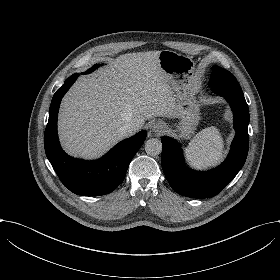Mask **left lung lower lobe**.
Masks as SVG:
<instances>
[{"instance_id":"0a47b994","label":"left lung lower lobe","mask_w":280,"mask_h":280,"mask_svg":"<svg viewBox=\"0 0 280 280\" xmlns=\"http://www.w3.org/2000/svg\"><path fill=\"white\" fill-rule=\"evenodd\" d=\"M212 90L229 102L236 131L230 153L220 166L207 172L184 168V158L178 142L169 137L161 139L164 174L175 192L190 198L217 195L243 167L248 153L249 109L238 81L213 86Z\"/></svg>"}]
</instances>
